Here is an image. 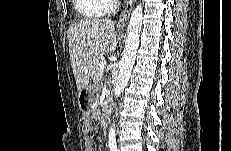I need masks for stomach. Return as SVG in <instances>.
<instances>
[{"label":"stomach","instance_id":"obj_1","mask_svg":"<svg viewBox=\"0 0 231 151\" xmlns=\"http://www.w3.org/2000/svg\"><path fill=\"white\" fill-rule=\"evenodd\" d=\"M99 93L96 84L87 82L78 93V105L84 115H90L96 108Z\"/></svg>","mask_w":231,"mask_h":151}]
</instances>
